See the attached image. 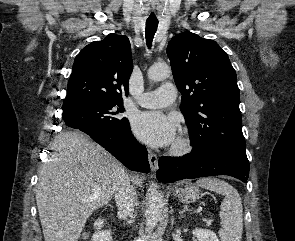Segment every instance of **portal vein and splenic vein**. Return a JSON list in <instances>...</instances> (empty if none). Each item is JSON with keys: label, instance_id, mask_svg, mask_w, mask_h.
I'll return each instance as SVG.
<instances>
[{"label": "portal vein and splenic vein", "instance_id": "18ae733b", "mask_svg": "<svg viewBox=\"0 0 295 241\" xmlns=\"http://www.w3.org/2000/svg\"><path fill=\"white\" fill-rule=\"evenodd\" d=\"M95 188H96V189H100L98 186H96ZM207 224H209V222H208Z\"/></svg>", "mask_w": 295, "mask_h": 241}]
</instances>
